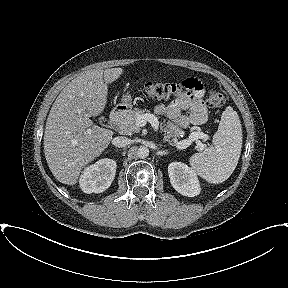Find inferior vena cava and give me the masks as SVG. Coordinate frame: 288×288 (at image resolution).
<instances>
[{
  "mask_svg": "<svg viewBox=\"0 0 288 288\" xmlns=\"http://www.w3.org/2000/svg\"><path fill=\"white\" fill-rule=\"evenodd\" d=\"M131 143V140L127 137L118 136L113 138L112 144L117 147H125Z\"/></svg>",
  "mask_w": 288,
  "mask_h": 288,
  "instance_id": "602c4592",
  "label": "inferior vena cava"
}]
</instances>
